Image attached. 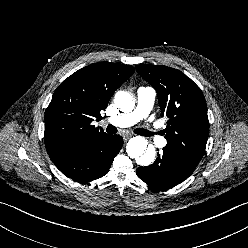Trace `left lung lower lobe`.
<instances>
[{
  "label": "left lung lower lobe",
  "instance_id": "left-lung-lower-lobe-1",
  "mask_svg": "<svg viewBox=\"0 0 248 248\" xmlns=\"http://www.w3.org/2000/svg\"><path fill=\"white\" fill-rule=\"evenodd\" d=\"M195 170L170 151L163 148V154L147 167H139L137 176L148 185L168 189L186 180Z\"/></svg>",
  "mask_w": 248,
  "mask_h": 248
}]
</instances>
